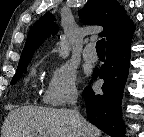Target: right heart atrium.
Instances as JSON below:
<instances>
[{"instance_id":"1","label":"right heart atrium","mask_w":144,"mask_h":137,"mask_svg":"<svg viewBox=\"0 0 144 137\" xmlns=\"http://www.w3.org/2000/svg\"><path fill=\"white\" fill-rule=\"evenodd\" d=\"M77 94L75 70L66 63L54 66L43 90V101L52 106L64 105Z\"/></svg>"}]
</instances>
